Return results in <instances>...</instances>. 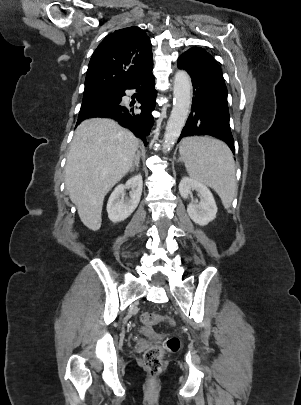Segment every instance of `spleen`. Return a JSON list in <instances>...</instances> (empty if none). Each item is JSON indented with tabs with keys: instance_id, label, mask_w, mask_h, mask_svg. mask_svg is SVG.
Wrapping results in <instances>:
<instances>
[{
	"instance_id": "3e777b00",
	"label": "spleen",
	"mask_w": 301,
	"mask_h": 405,
	"mask_svg": "<svg viewBox=\"0 0 301 405\" xmlns=\"http://www.w3.org/2000/svg\"><path fill=\"white\" fill-rule=\"evenodd\" d=\"M188 174L220 196L229 208L236 189L235 162L230 149L220 140L209 137H187L179 148Z\"/></svg>"
}]
</instances>
